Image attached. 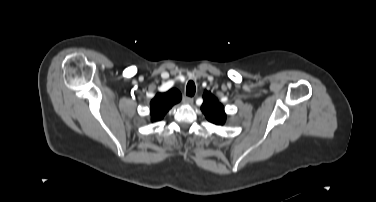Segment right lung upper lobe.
Masks as SVG:
<instances>
[{
    "mask_svg": "<svg viewBox=\"0 0 376 202\" xmlns=\"http://www.w3.org/2000/svg\"><path fill=\"white\" fill-rule=\"evenodd\" d=\"M181 100V93L177 89H170L165 93H158L150 103L152 121L162 120L172 106Z\"/></svg>",
    "mask_w": 376,
    "mask_h": 202,
    "instance_id": "cb5924a9",
    "label": "right lung upper lobe"
}]
</instances>
